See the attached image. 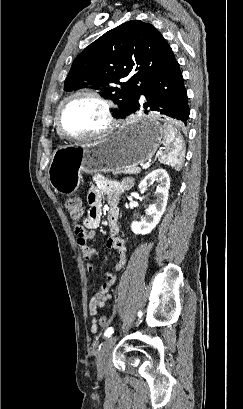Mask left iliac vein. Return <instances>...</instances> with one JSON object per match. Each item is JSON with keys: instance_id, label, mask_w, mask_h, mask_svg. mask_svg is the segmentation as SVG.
I'll return each mask as SVG.
<instances>
[{"instance_id": "1", "label": "left iliac vein", "mask_w": 243, "mask_h": 409, "mask_svg": "<svg viewBox=\"0 0 243 409\" xmlns=\"http://www.w3.org/2000/svg\"><path fill=\"white\" fill-rule=\"evenodd\" d=\"M115 342H116V337L112 336V337H109L103 343V346L97 358V372L100 377L103 376L106 372L108 357L111 353L113 346L115 345Z\"/></svg>"}]
</instances>
